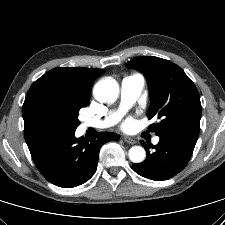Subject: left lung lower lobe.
Wrapping results in <instances>:
<instances>
[{
	"label": "left lung lower lobe",
	"mask_w": 225,
	"mask_h": 225,
	"mask_svg": "<svg viewBox=\"0 0 225 225\" xmlns=\"http://www.w3.org/2000/svg\"><path fill=\"white\" fill-rule=\"evenodd\" d=\"M157 145H146L141 141L147 152L146 159L140 164H133V169L139 175L156 180H168L181 172L187 165L195 144L169 135L159 136ZM152 146L155 151L150 153Z\"/></svg>",
	"instance_id": "0a47b994"
}]
</instances>
